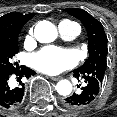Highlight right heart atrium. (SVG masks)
<instances>
[{"instance_id":"right-heart-atrium-1","label":"right heart atrium","mask_w":117,"mask_h":117,"mask_svg":"<svg viewBox=\"0 0 117 117\" xmlns=\"http://www.w3.org/2000/svg\"><path fill=\"white\" fill-rule=\"evenodd\" d=\"M30 35H28L27 37H26V42L28 41V40H30Z\"/></svg>"}]
</instances>
